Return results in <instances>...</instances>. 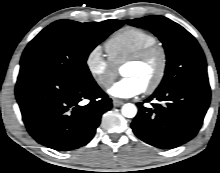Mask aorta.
Masks as SVG:
<instances>
[{"label": "aorta", "mask_w": 220, "mask_h": 173, "mask_svg": "<svg viewBox=\"0 0 220 173\" xmlns=\"http://www.w3.org/2000/svg\"><path fill=\"white\" fill-rule=\"evenodd\" d=\"M122 114L127 118H133L137 114V108L134 104L127 103L122 107Z\"/></svg>", "instance_id": "1"}]
</instances>
